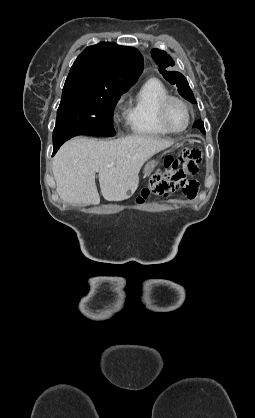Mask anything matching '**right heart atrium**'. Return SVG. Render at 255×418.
Listing matches in <instances>:
<instances>
[{
    "instance_id": "d8ad5b80",
    "label": "right heart atrium",
    "mask_w": 255,
    "mask_h": 418,
    "mask_svg": "<svg viewBox=\"0 0 255 418\" xmlns=\"http://www.w3.org/2000/svg\"><path fill=\"white\" fill-rule=\"evenodd\" d=\"M119 106H120V102L118 101V102L115 104V109H118V108H119Z\"/></svg>"
}]
</instances>
